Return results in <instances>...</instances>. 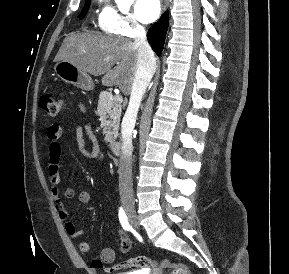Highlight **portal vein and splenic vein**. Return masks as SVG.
Instances as JSON below:
<instances>
[{
	"label": "portal vein and splenic vein",
	"mask_w": 289,
	"mask_h": 274,
	"mask_svg": "<svg viewBox=\"0 0 289 274\" xmlns=\"http://www.w3.org/2000/svg\"><path fill=\"white\" fill-rule=\"evenodd\" d=\"M115 98H116L118 101H120V102H122V101H123V98H122V96H121V95H116V96H115Z\"/></svg>",
	"instance_id": "18ae733b"
}]
</instances>
